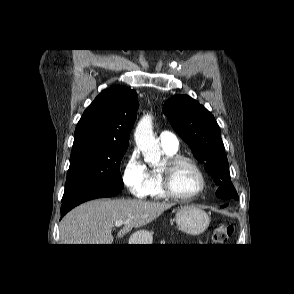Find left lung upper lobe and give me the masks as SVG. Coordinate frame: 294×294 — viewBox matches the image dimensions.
<instances>
[{
	"mask_svg": "<svg viewBox=\"0 0 294 294\" xmlns=\"http://www.w3.org/2000/svg\"><path fill=\"white\" fill-rule=\"evenodd\" d=\"M163 112L179 136L190 146L195 158L218 186L217 197L239 199L230 181L227 156L220 128L214 116L188 95H175L163 106Z\"/></svg>",
	"mask_w": 294,
	"mask_h": 294,
	"instance_id": "5c2ea615",
	"label": "left lung upper lobe"
}]
</instances>
